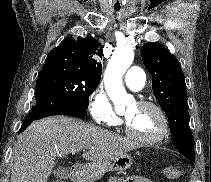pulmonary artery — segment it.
Instances as JSON below:
<instances>
[{"mask_svg": "<svg viewBox=\"0 0 211 182\" xmlns=\"http://www.w3.org/2000/svg\"><path fill=\"white\" fill-rule=\"evenodd\" d=\"M125 83L133 91H140L144 87L145 73L139 67H131L125 74Z\"/></svg>", "mask_w": 211, "mask_h": 182, "instance_id": "obj_1", "label": "pulmonary artery"}]
</instances>
